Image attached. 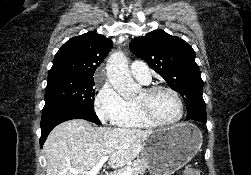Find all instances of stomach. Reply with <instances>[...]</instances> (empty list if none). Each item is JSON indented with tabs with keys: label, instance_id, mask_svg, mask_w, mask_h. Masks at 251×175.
Masks as SVG:
<instances>
[{
	"label": "stomach",
	"instance_id": "1",
	"mask_svg": "<svg viewBox=\"0 0 251 175\" xmlns=\"http://www.w3.org/2000/svg\"><path fill=\"white\" fill-rule=\"evenodd\" d=\"M203 143L201 129L194 123H176L148 135L141 157L152 175H172L198 153Z\"/></svg>",
	"mask_w": 251,
	"mask_h": 175
}]
</instances>
